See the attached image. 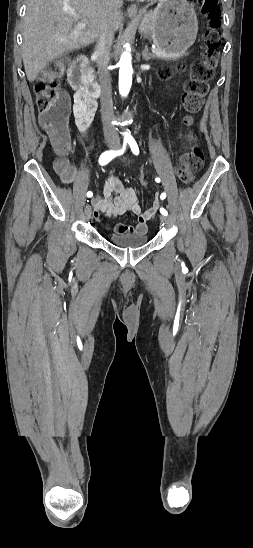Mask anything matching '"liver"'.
I'll return each instance as SVG.
<instances>
[{
    "mask_svg": "<svg viewBox=\"0 0 253 548\" xmlns=\"http://www.w3.org/2000/svg\"><path fill=\"white\" fill-rule=\"evenodd\" d=\"M105 19L114 33L123 19L120 8L108 11L107 0H27L22 58L28 81L56 57L98 40Z\"/></svg>",
    "mask_w": 253,
    "mask_h": 548,
    "instance_id": "liver-1",
    "label": "liver"
}]
</instances>
